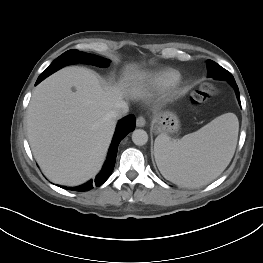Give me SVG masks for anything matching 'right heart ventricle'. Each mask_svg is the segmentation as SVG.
I'll return each mask as SVG.
<instances>
[{
	"label": "right heart ventricle",
	"instance_id": "obj_1",
	"mask_svg": "<svg viewBox=\"0 0 263 263\" xmlns=\"http://www.w3.org/2000/svg\"><path fill=\"white\" fill-rule=\"evenodd\" d=\"M181 78V74L178 70L173 68H164L154 73L144 76L138 87L162 90L170 88L176 85Z\"/></svg>",
	"mask_w": 263,
	"mask_h": 263
}]
</instances>
